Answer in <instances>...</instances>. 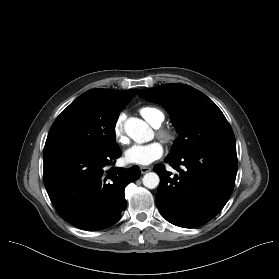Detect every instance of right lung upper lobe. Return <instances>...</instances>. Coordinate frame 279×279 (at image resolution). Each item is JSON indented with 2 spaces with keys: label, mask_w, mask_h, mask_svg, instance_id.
Returning <instances> with one entry per match:
<instances>
[{
  "label": "right lung upper lobe",
  "mask_w": 279,
  "mask_h": 279,
  "mask_svg": "<svg viewBox=\"0 0 279 279\" xmlns=\"http://www.w3.org/2000/svg\"><path fill=\"white\" fill-rule=\"evenodd\" d=\"M136 94L135 89L128 91L92 89L83 95L102 107H125Z\"/></svg>",
  "instance_id": "right-lung-upper-lobe-1"
}]
</instances>
